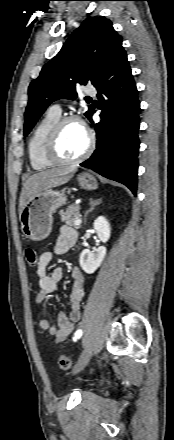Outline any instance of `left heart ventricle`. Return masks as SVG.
Wrapping results in <instances>:
<instances>
[{"mask_svg":"<svg viewBox=\"0 0 174 440\" xmlns=\"http://www.w3.org/2000/svg\"><path fill=\"white\" fill-rule=\"evenodd\" d=\"M88 137L83 127L71 122L66 124L60 134L58 141V150L65 159L78 157L86 148Z\"/></svg>","mask_w":174,"mask_h":440,"instance_id":"obj_1","label":"left heart ventricle"}]
</instances>
